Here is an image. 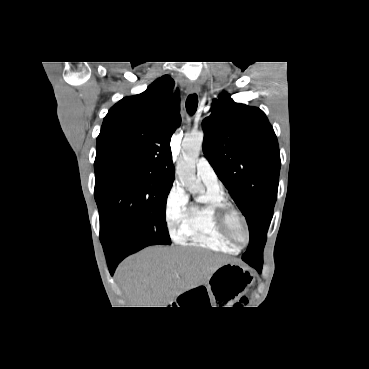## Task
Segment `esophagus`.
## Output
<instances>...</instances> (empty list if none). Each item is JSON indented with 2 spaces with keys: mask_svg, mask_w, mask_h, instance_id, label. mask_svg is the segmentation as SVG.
Returning <instances> with one entry per match:
<instances>
[{
  "mask_svg": "<svg viewBox=\"0 0 369 369\" xmlns=\"http://www.w3.org/2000/svg\"><path fill=\"white\" fill-rule=\"evenodd\" d=\"M188 90L190 93H198L200 91V86L196 83H192L189 85Z\"/></svg>",
  "mask_w": 369,
  "mask_h": 369,
  "instance_id": "obj_1",
  "label": "esophagus"
}]
</instances>
